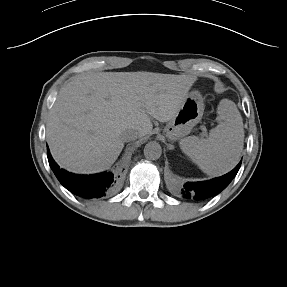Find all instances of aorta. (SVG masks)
<instances>
[{
  "label": "aorta",
  "mask_w": 287,
  "mask_h": 287,
  "mask_svg": "<svg viewBox=\"0 0 287 287\" xmlns=\"http://www.w3.org/2000/svg\"><path fill=\"white\" fill-rule=\"evenodd\" d=\"M162 154V148L158 142L152 141L145 145L144 156L148 160H157Z\"/></svg>",
  "instance_id": "1"
}]
</instances>
